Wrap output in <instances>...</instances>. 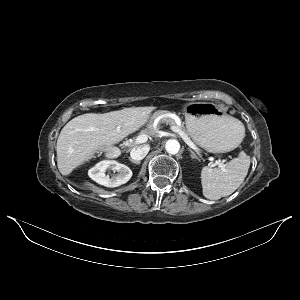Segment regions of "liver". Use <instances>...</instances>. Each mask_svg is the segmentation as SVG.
<instances>
[{"label":"liver","mask_w":300,"mask_h":300,"mask_svg":"<svg viewBox=\"0 0 300 300\" xmlns=\"http://www.w3.org/2000/svg\"><path fill=\"white\" fill-rule=\"evenodd\" d=\"M153 107H133L104 114L87 113L70 120L57 140V166L64 176L144 126Z\"/></svg>","instance_id":"obj_1"}]
</instances>
